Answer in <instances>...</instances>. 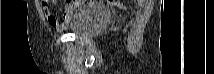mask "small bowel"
Masks as SVG:
<instances>
[{
    "label": "small bowel",
    "mask_w": 214,
    "mask_h": 74,
    "mask_svg": "<svg viewBox=\"0 0 214 74\" xmlns=\"http://www.w3.org/2000/svg\"><path fill=\"white\" fill-rule=\"evenodd\" d=\"M41 5L49 25L57 31L65 30L69 20L71 19L72 11L75 8V3L67 2L64 5L61 18H57L55 15L50 13L49 1H41Z\"/></svg>",
    "instance_id": "small-bowel-1"
}]
</instances>
